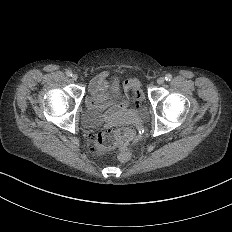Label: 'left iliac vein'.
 <instances>
[{"instance_id": "4c4485c4", "label": "left iliac vein", "mask_w": 232, "mask_h": 232, "mask_svg": "<svg viewBox=\"0 0 232 232\" xmlns=\"http://www.w3.org/2000/svg\"><path fill=\"white\" fill-rule=\"evenodd\" d=\"M158 83L159 84H164L165 83V78L164 77H159L158 78Z\"/></svg>"}]
</instances>
